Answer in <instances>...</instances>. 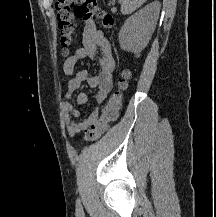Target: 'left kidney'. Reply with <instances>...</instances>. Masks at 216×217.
Here are the masks:
<instances>
[{
    "instance_id": "obj_1",
    "label": "left kidney",
    "mask_w": 216,
    "mask_h": 217,
    "mask_svg": "<svg viewBox=\"0 0 216 217\" xmlns=\"http://www.w3.org/2000/svg\"><path fill=\"white\" fill-rule=\"evenodd\" d=\"M159 12L160 4L153 2L130 16L119 32L121 49L134 53L141 52L154 32Z\"/></svg>"
}]
</instances>
